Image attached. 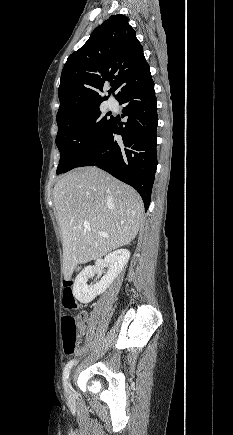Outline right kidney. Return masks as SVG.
I'll list each match as a JSON object with an SVG mask.
<instances>
[{
  "label": "right kidney",
  "mask_w": 233,
  "mask_h": 435,
  "mask_svg": "<svg viewBox=\"0 0 233 435\" xmlns=\"http://www.w3.org/2000/svg\"><path fill=\"white\" fill-rule=\"evenodd\" d=\"M130 258V252L127 249L116 250L104 258V264L108 271L103 278L95 285H88V279L94 274L92 266L85 267L76 277L73 285V294L81 303H89L97 295L103 293L115 278L123 270Z\"/></svg>",
  "instance_id": "right-kidney-1"
}]
</instances>
